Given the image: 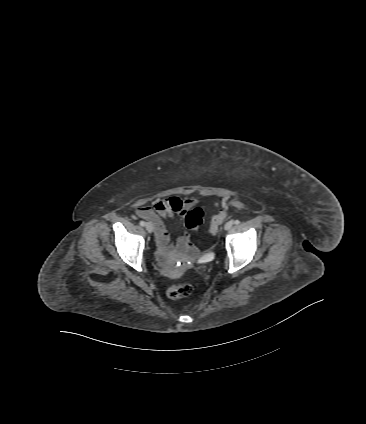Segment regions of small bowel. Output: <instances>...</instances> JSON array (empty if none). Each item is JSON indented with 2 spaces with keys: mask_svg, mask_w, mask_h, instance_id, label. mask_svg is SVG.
<instances>
[{
  "mask_svg": "<svg viewBox=\"0 0 366 424\" xmlns=\"http://www.w3.org/2000/svg\"><path fill=\"white\" fill-rule=\"evenodd\" d=\"M196 204L194 198L167 197L156 199L152 206H143L137 210V216L149 221L155 229L159 253L161 256L171 253L174 248L184 249L189 240L188 236L179 237L175 244L171 242L170 234L163 219L174 218L176 214H183Z\"/></svg>",
  "mask_w": 366,
  "mask_h": 424,
  "instance_id": "small-bowel-1",
  "label": "small bowel"
}]
</instances>
